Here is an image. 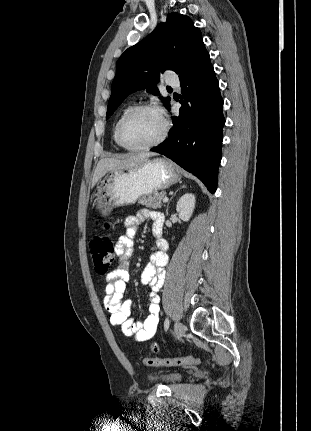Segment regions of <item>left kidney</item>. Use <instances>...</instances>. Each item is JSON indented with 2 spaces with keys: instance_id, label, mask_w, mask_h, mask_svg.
<instances>
[{
  "instance_id": "1",
  "label": "left kidney",
  "mask_w": 311,
  "mask_h": 431,
  "mask_svg": "<svg viewBox=\"0 0 311 431\" xmlns=\"http://www.w3.org/2000/svg\"><path fill=\"white\" fill-rule=\"evenodd\" d=\"M195 204L196 200L194 194H184V196H181L176 206V212L180 219H183V221H189L195 210Z\"/></svg>"
}]
</instances>
